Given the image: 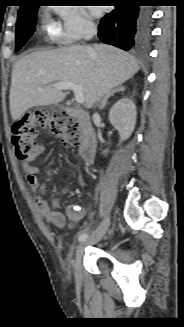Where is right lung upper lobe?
Segmentation results:
<instances>
[{"instance_id": "cb5924a9", "label": "right lung upper lobe", "mask_w": 184, "mask_h": 327, "mask_svg": "<svg viewBox=\"0 0 184 327\" xmlns=\"http://www.w3.org/2000/svg\"><path fill=\"white\" fill-rule=\"evenodd\" d=\"M21 3H22V5L20 6L19 11H23V10H26L28 8L36 6L34 4L35 0H21Z\"/></svg>"}]
</instances>
